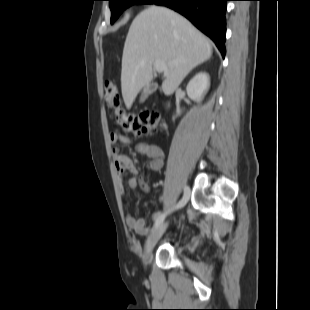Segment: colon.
<instances>
[{
	"instance_id": "obj_1",
	"label": "colon",
	"mask_w": 310,
	"mask_h": 310,
	"mask_svg": "<svg viewBox=\"0 0 310 310\" xmlns=\"http://www.w3.org/2000/svg\"><path fill=\"white\" fill-rule=\"evenodd\" d=\"M105 101L114 110L115 123L125 132L134 135H145L155 130L160 123L157 111H144L133 114L121 108V99L116 84L107 81L104 84Z\"/></svg>"
}]
</instances>
